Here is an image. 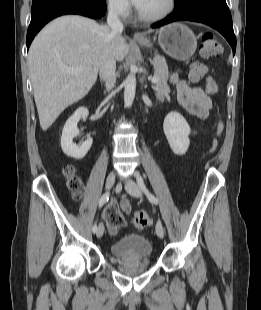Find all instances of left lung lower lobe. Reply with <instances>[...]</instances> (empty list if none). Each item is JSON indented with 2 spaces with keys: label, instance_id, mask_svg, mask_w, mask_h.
<instances>
[{
  "label": "left lung lower lobe",
  "instance_id": "left-lung-lower-lobe-1",
  "mask_svg": "<svg viewBox=\"0 0 261 310\" xmlns=\"http://www.w3.org/2000/svg\"><path fill=\"white\" fill-rule=\"evenodd\" d=\"M188 20L206 24L218 30L236 50V37L232 27V18L226 0H192L181 8H176L165 19L152 25V28L161 27L171 22Z\"/></svg>",
  "mask_w": 261,
  "mask_h": 310
}]
</instances>
